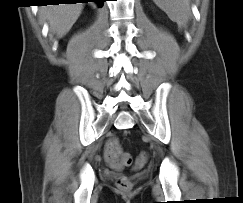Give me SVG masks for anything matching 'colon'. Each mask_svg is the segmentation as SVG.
<instances>
[{"label":"colon","instance_id":"1","mask_svg":"<svg viewBox=\"0 0 243 203\" xmlns=\"http://www.w3.org/2000/svg\"><path fill=\"white\" fill-rule=\"evenodd\" d=\"M147 160V154L146 153H141V155L138 158V165H142L145 163ZM118 161L126 166L131 164V156L127 152L119 151L118 153ZM117 186L121 191L124 192H130L133 188V183L128 177H120L117 181Z\"/></svg>","mask_w":243,"mask_h":203}]
</instances>
